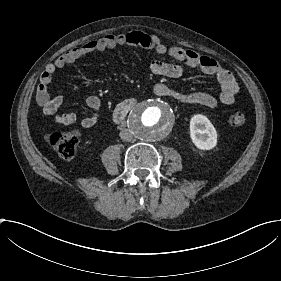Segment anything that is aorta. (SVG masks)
<instances>
[{
	"label": "aorta",
	"mask_w": 281,
	"mask_h": 281,
	"mask_svg": "<svg viewBox=\"0 0 281 281\" xmlns=\"http://www.w3.org/2000/svg\"><path fill=\"white\" fill-rule=\"evenodd\" d=\"M131 133L143 141H159L165 138L174 125L172 109L154 100L138 103L128 117Z\"/></svg>",
	"instance_id": "1"
}]
</instances>
